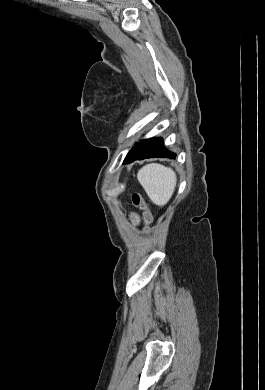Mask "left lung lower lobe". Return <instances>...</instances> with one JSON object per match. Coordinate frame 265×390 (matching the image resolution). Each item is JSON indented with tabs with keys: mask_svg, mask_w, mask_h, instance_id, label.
I'll list each match as a JSON object with an SVG mask.
<instances>
[{
	"mask_svg": "<svg viewBox=\"0 0 265 390\" xmlns=\"http://www.w3.org/2000/svg\"><path fill=\"white\" fill-rule=\"evenodd\" d=\"M147 158H176V154L167 150L161 138L146 139L138 142L127 154L123 164Z\"/></svg>",
	"mask_w": 265,
	"mask_h": 390,
	"instance_id": "left-lung-lower-lobe-1",
	"label": "left lung lower lobe"
}]
</instances>
